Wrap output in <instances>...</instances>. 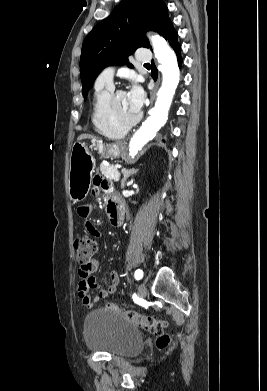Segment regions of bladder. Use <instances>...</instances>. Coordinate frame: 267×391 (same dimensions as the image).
Returning a JSON list of instances; mask_svg holds the SVG:
<instances>
[{
	"label": "bladder",
	"instance_id": "bladder-1",
	"mask_svg": "<svg viewBox=\"0 0 267 391\" xmlns=\"http://www.w3.org/2000/svg\"><path fill=\"white\" fill-rule=\"evenodd\" d=\"M86 347L94 352L130 357L143 349V335L130 321L108 310H94L85 319Z\"/></svg>",
	"mask_w": 267,
	"mask_h": 391
}]
</instances>
